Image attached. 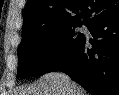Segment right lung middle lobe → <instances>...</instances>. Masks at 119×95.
I'll return each mask as SVG.
<instances>
[{
    "label": "right lung middle lobe",
    "mask_w": 119,
    "mask_h": 95,
    "mask_svg": "<svg viewBox=\"0 0 119 95\" xmlns=\"http://www.w3.org/2000/svg\"><path fill=\"white\" fill-rule=\"evenodd\" d=\"M81 23H53L36 27L22 36L18 47V76L49 72L80 40Z\"/></svg>",
    "instance_id": "dd1d6c3e"
}]
</instances>
